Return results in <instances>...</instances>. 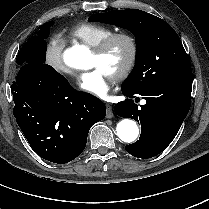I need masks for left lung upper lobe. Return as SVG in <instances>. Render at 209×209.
Segmentation results:
<instances>
[{"label": "left lung upper lobe", "instance_id": "obj_1", "mask_svg": "<svg viewBox=\"0 0 209 209\" xmlns=\"http://www.w3.org/2000/svg\"><path fill=\"white\" fill-rule=\"evenodd\" d=\"M89 20L126 28L136 37V64L122 88L141 90L158 83L192 80L182 42L164 20L138 9L98 13Z\"/></svg>", "mask_w": 209, "mask_h": 209}]
</instances>
